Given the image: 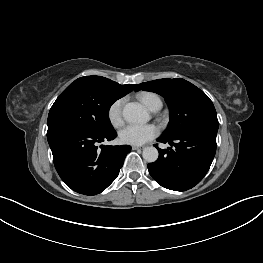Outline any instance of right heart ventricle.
Returning a JSON list of instances; mask_svg holds the SVG:
<instances>
[{
  "mask_svg": "<svg viewBox=\"0 0 263 263\" xmlns=\"http://www.w3.org/2000/svg\"><path fill=\"white\" fill-rule=\"evenodd\" d=\"M137 98L151 111L158 104L162 105L160 97L153 92L142 91V92L138 93Z\"/></svg>",
  "mask_w": 263,
  "mask_h": 263,
  "instance_id": "e07e8e85",
  "label": "right heart ventricle"
}]
</instances>
